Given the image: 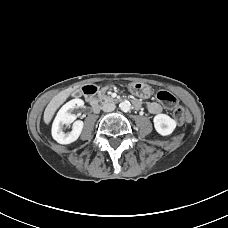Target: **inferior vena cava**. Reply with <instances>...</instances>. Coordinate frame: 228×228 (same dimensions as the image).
<instances>
[{
	"label": "inferior vena cava",
	"instance_id": "inferior-vena-cava-1",
	"mask_svg": "<svg viewBox=\"0 0 228 228\" xmlns=\"http://www.w3.org/2000/svg\"><path fill=\"white\" fill-rule=\"evenodd\" d=\"M115 104L113 103H105L103 106H102V110L104 112H112L115 110Z\"/></svg>",
	"mask_w": 228,
	"mask_h": 228
}]
</instances>
